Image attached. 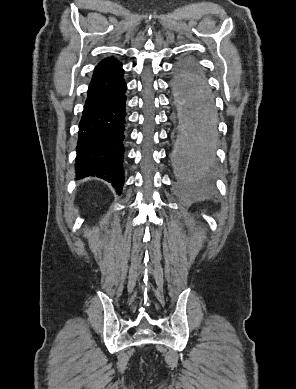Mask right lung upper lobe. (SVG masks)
<instances>
[{
  "instance_id": "cb5924a9",
  "label": "right lung upper lobe",
  "mask_w": 296,
  "mask_h": 389,
  "mask_svg": "<svg viewBox=\"0 0 296 389\" xmlns=\"http://www.w3.org/2000/svg\"><path fill=\"white\" fill-rule=\"evenodd\" d=\"M123 72L121 63L113 57L102 60L94 70L86 103L104 98L118 91L126 84Z\"/></svg>"
}]
</instances>
